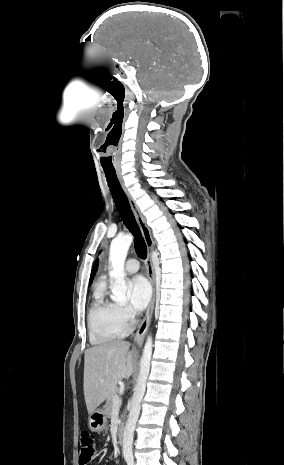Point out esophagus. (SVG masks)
I'll return each instance as SVG.
<instances>
[{"mask_svg": "<svg viewBox=\"0 0 284 465\" xmlns=\"http://www.w3.org/2000/svg\"><path fill=\"white\" fill-rule=\"evenodd\" d=\"M117 175H118L121 187L124 190V193L128 198L129 204L133 210L135 219L137 221V224L139 225V228L141 230V233L143 235V238H144V241L147 247L146 269H147V277L149 281L151 282V286H152V298L148 305L145 317L143 318L142 322L140 323L134 335V343L137 346H140L142 345L145 334L150 326V322H151V318H152V314L154 310V302H155V272H154V266H153L152 257H151L152 248H153V239H152L150 229L146 223L145 217L141 213L136 201L134 200L130 192L125 187L119 170H117Z\"/></svg>", "mask_w": 284, "mask_h": 465, "instance_id": "34e87169", "label": "esophagus"}]
</instances>
